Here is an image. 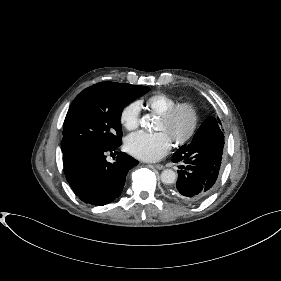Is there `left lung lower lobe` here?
I'll return each instance as SVG.
<instances>
[{"instance_id": "left-lung-lower-lobe-1", "label": "left lung lower lobe", "mask_w": 281, "mask_h": 281, "mask_svg": "<svg viewBox=\"0 0 281 281\" xmlns=\"http://www.w3.org/2000/svg\"><path fill=\"white\" fill-rule=\"evenodd\" d=\"M224 146L219 120L208 117L189 145H183L172 161L178 166V180L173 194L186 203H198L214 190L222 163Z\"/></svg>"}]
</instances>
